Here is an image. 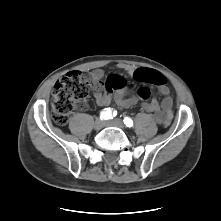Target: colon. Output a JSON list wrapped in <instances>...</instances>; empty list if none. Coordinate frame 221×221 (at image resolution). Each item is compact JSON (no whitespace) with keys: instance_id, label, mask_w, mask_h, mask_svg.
Listing matches in <instances>:
<instances>
[{"instance_id":"colon-1","label":"colon","mask_w":221,"mask_h":221,"mask_svg":"<svg viewBox=\"0 0 221 221\" xmlns=\"http://www.w3.org/2000/svg\"><path fill=\"white\" fill-rule=\"evenodd\" d=\"M133 78L159 87L167 82L163 74L146 68L138 69ZM88 94V84L80 73L70 72L63 76L56 82L52 95L51 107L54 121L64 125L77 103L85 99ZM136 95L140 100H147L151 95V89L143 85L137 89Z\"/></svg>"}]
</instances>
